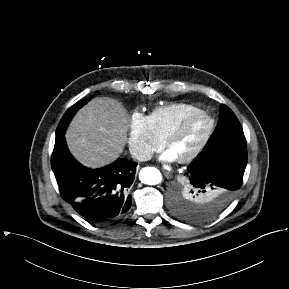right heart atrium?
Masks as SVG:
<instances>
[{
  "instance_id": "right-heart-atrium-1",
  "label": "right heart atrium",
  "mask_w": 289,
  "mask_h": 289,
  "mask_svg": "<svg viewBox=\"0 0 289 289\" xmlns=\"http://www.w3.org/2000/svg\"><path fill=\"white\" fill-rule=\"evenodd\" d=\"M128 149L138 161H146L162 146V140L155 134L149 117L134 112L128 122Z\"/></svg>"
}]
</instances>
